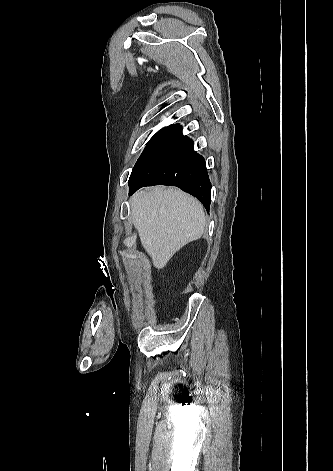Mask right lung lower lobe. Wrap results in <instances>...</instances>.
Returning <instances> with one entry per match:
<instances>
[{"instance_id": "98d812e1", "label": "right lung lower lobe", "mask_w": 333, "mask_h": 471, "mask_svg": "<svg viewBox=\"0 0 333 471\" xmlns=\"http://www.w3.org/2000/svg\"><path fill=\"white\" fill-rule=\"evenodd\" d=\"M193 146L179 124L171 126L137 160L129 178V194L143 186L173 185L198 198L209 211L211 183L205 160Z\"/></svg>"}]
</instances>
